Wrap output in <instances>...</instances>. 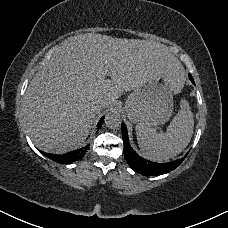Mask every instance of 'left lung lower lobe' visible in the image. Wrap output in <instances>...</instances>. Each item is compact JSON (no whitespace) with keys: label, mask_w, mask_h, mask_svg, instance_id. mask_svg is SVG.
<instances>
[{"label":"left lung lower lobe","mask_w":228,"mask_h":228,"mask_svg":"<svg viewBox=\"0 0 228 228\" xmlns=\"http://www.w3.org/2000/svg\"><path fill=\"white\" fill-rule=\"evenodd\" d=\"M189 78L193 84L194 80L191 75H189ZM122 138L124 143V155L125 159L127 160L128 164L132 169L139 172L142 175H149V176H157L162 175L165 173H168L174 169H176L186 158L184 156L181 159L171 161L168 163H155L151 162L149 160H146L142 157H140L135 151L131 148L128 134H127V128L124 123H122Z\"/></svg>","instance_id":"1"}]
</instances>
